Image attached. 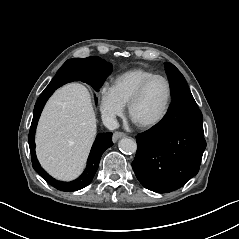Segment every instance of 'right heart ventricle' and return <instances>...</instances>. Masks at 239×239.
I'll return each instance as SVG.
<instances>
[{
	"mask_svg": "<svg viewBox=\"0 0 239 239\" xmlns=\"http://www.w3.org/2000/svg\"><path fill=\"white\" fill-rule=\"evenodd\" d=\"M153 75L156 73L147 68H132L115 76L110 88L117 100L126 107L139 86Z\"/></svg>",
	"mask_w": 239,
	"mask_h": 239,
	"instance_id": "right-heart-ventricle-1",
	"label": "right heart ventricle"
}]
</instances>
